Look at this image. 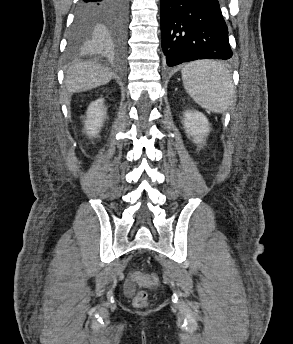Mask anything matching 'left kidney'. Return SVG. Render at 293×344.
I'll return each instance as SVG.
<instances>
[{"instance_id":"obj_1","label":"left kidney","mask_w":293,"mask_h":344,"mask_svg":"<svg viewBox=\"0 0 293 344\" xmlns=\"http://www.w3.org/2000/svg\"><path fill=\"white\" fill-rule=\"evenodd\" d=\"M183 125L187 135L193 138L196 144H204L210 127L206 116L194 110H187L184 112Z\"/></svg>"}]
</instances>
